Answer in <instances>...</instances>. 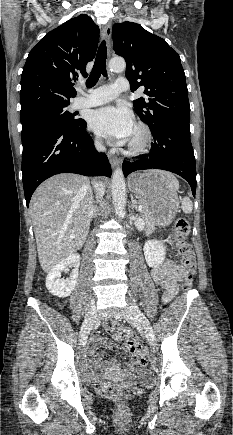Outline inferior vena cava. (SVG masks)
<instances>
[{
  "label": "inferior vena cava",
  "instance_id": "1",
  "mask_svg": "<svg viewBox=\"0 0 233 435\" xmlns=\"http://www.w3.org/2000/svg\"><path fill=\"white\" fill-rule=\"evenodd\" d=\"M95 145H96V148L99 151H104L105 150V147L103 146V144L100 141H96ZM94 187H95L96 192H97L96 198L97 199L101 198L104 195V185H103V183L102 182H94Z\"/></svg>",
  "mask_w": 233,
  "mask_h": 435
}]
</instances>
